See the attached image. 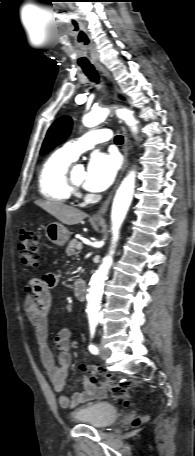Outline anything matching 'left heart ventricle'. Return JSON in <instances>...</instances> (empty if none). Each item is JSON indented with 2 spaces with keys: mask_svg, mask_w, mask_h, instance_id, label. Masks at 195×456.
<instances>
[{
  "mask_svg": "<svg viewBox=\"0 0 195 456\" xmlns=\"http://www.w3.org/2000/svg\"><path fill=\"white\" fill-rule=\"evenodd\" d=\"M71 177L75 183L82 185L85 179V170L79 168L74 169L71 172Z\"/></svg>",
  "mask_w": 195,
  "mask_h": 456,
  "instance_id": "1",
  "label": "left heart ventricle"
}]
</instances>
